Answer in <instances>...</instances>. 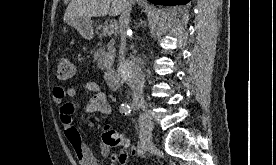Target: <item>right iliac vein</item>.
I'll return each mask as SVG.
<instances>
[{"instance_id":"1","label":"right iliac vein","mask_w":276,"mask_h":165,"mask_svg":"<svg viewBox=\"0 0 276 165\" xmlns=\"http://www.w3.org/2000/svg\"><path fill=\"white\" fill-rule=\"evenodd\" d=\"M135 108L142 111L141 117L145 121V127L147 131V143H146V150H152L153 149V143H152V131L154 128V123L152 121V118L147 110V104L144 101H136L134 103Z\"/></svg>"}]
</instances>
